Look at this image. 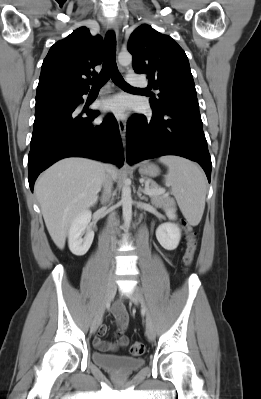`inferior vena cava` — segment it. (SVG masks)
Instances as JSON below:
<instances>
[{
    "label": "inferior vena cava",
    "mask_w": 261,
    "mask_h": 399,
    "mask_svg": "<svg viewBox=\"0 0 261 399\" xmlns=\"http://www.w3.org/2000/svg\"><path fill=\"white\" fill-rule=\"evenodd\" d=\"M112 187H113V182H112V178L107 174L104 178L103 181V188H104V192H103V199L105 203H108L110 201L111 198V192H112ZM108 225L110 227V234H111V247L112 249L116 248V231H115V218L113 215H110L108 218Z\"/></svg>",
    "instance_id": "602c4592"
}]
</instances>
